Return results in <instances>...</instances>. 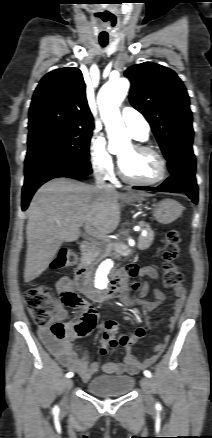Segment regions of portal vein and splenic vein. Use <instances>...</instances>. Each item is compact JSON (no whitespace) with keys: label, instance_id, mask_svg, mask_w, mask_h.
Masks as SVG:
<instances>
[{"label":"portal vein and splenic vein","instance_id":"1","mask_svg":"<svg viewBox=\"0 0 212 438\" xmlns=\"http://www.w3.org/2000/svg\"><path fill=\"white\" fill-rule=\"evenodd\" d=\"M85 230L92 235H98V233L95 232L90 226H85Z\"/></svg>","mask_w":212,"mask_h":438}]
</instances>
